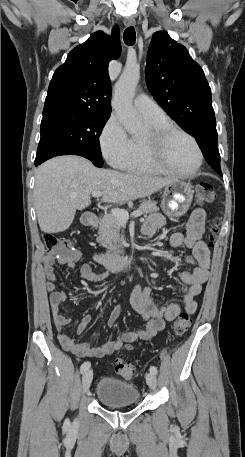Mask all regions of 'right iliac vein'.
<instances>
[{
    "mask_svg": "<svg viewBox=\"0 0 245 457\" xmlns=\"http://www.w3.org/2000/svg\"><path fill=\"white\" fill-rule=\"evenodd\" d=\"M93 379V370L88 369L84 372L83 378H82V388L84 392H87L89 390V387L91 385Z\"/></svg>",
    "mask_w": 245,
    "mask_h": 457,
    "instance_id": "right-iliac-vein-1",
    "label": "right iliac vein"
}]
</instances>
